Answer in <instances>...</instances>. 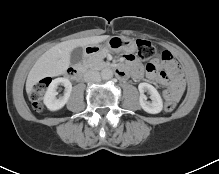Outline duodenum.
<instances>
[{"instance_id":"obj_1","label":"duodenum","mask_w":219,"mask_h":174,"mask_svg":"<svg viewBox=\"0 0 219 174\" xmlns=\"http://www.w3.org/2000/svg\"><path fill=\"white\" fill-rule=\"evenodd\" d=\"M98 52H99V49L95 48V47L87 49L86 52H85V59L88 58L89 56L93 55V54L98 53ZM102 67L103 68H108V67H110V65L105 63V64L102 65ZM84 71H85V69L82 66L72 67V68H69L68 75L72 79H80V78H82V76L84 74ZM115 73L120 78H123V79L127 78V73L124 71V69H122L120 67L115 68Z\"/></svg>"}]
</instances>
